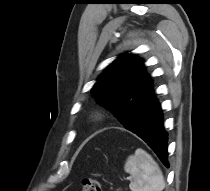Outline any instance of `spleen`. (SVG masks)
<instances>
[{"instance_id": "obj_1", "label": "spleen", "mask_w": 210, "mask_h": 191, "mask_svg": "<svg viewBox=\"0 0 210 191\" xmlns=\"http://www.w3.org/2000/svg\"><path fill=\"white\" fill-rule=\"evenodd\" d=\"M124 170L133 178L129 184L131 191H162L165 188L158 164L141 148L127 158Z\"/></svg>"}]
</instances>
